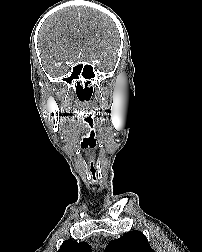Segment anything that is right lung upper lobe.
I'll return each instance as SVG.
<instances>
[{
    "label": "right lung upper lobe",
    "instance_id": "obj_1",
    "mask_svg": "<svg viewBox=\"0 0 202 252\" xmlns=\"http://www.w3.org/2000/svg\"><path fill=\"white\" fill-rule=\"evenodd\" d=\"M58 252H91V247L86 242L77 243L73 240H66Z\"/></svg>",
    "mask_w": 202,
    "mask_h": 252
}]
</instances>
